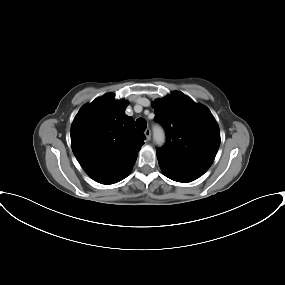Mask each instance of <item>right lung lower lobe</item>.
<instances>
[{"instance_id":"1","label":"right lung lower lobe","mask_w":285,"mask_h":285,"mask_svg":"<svg viewBox=\"0 0 285 285\" xmlns=\"http://www.w3.org/2000/svg\"><path fill=\"white\" fill-rule=\"evenodd\" d=\"M128 173H129V172H128ZM128 173H127L123 178H125V177L128 175ZM123 178H122V179H123ZM122 179H121V180H122Z\"/></svg>"}]
</instances>
